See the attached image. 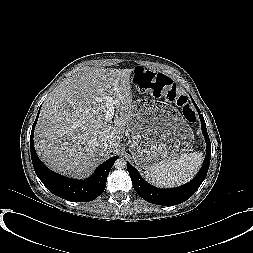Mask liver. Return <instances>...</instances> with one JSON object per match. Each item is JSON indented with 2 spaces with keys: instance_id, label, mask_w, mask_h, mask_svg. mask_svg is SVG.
<instances>
[{
  "instance_id": "obj_1",
  "label": "liver",
  "mask_w": 253,
  "mask_h": 253,
  "mask_svg": "<svg viewBox=\"0 0 253 253\" xmlns=\"http://www.w3.org/2000/svg\"><path fill=\"white\" fill-rule=\"evenodd\" d=\"M132 72L83 68L52 91L34 132L36 152L49 168L83 178L116 152L132 110ZM109 97L114 100V125L105 120Z\"/></svg>"
}]
</instances>
